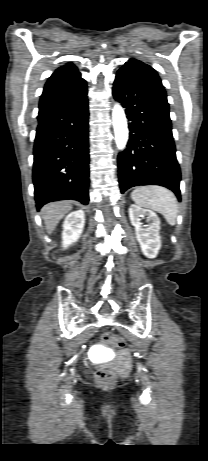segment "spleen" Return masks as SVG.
Segmentation results:
<instances>
[{
  "mask_svg": "<svg viewBox=\"0 0 208 461\" xmlns=\"http://www.w3.org/2000/svg\"><path fill=\"white\" fill-rule=\"evenodd\" d=\"M139 206L161 213L169 225L176 224L178 202L173 192L162 186H141L131 193Z\"/></svg>",
  "mask_w": 208,
  "mask_h": 461,
  "instance_id": "1",
  "label": "spleen"
}]
</instances>
